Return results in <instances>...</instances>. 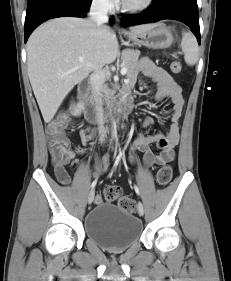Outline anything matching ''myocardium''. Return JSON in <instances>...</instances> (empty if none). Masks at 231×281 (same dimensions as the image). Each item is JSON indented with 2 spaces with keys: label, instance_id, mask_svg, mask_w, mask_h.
<instances>
[{
  "label": "myocardium",
  "instance_id": "obj_1",
  "mask_svg": "<svg viewBox=\"0 0 231 281\" xmlns=\"http://www.w3.org/2000/svg\"><path fill=\"white\" fill-rule=\"evenodd\" d=\"M154 0H143L138 4H128L125 1L122 2L121 7L124 12L127 13H142L152 7Z\"/></svg>",
  "mask_w": 231,
  "mask_h": 281
}]
</instances>
